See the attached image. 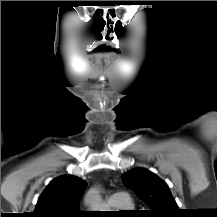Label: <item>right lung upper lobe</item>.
<instances>
[{
  "label": "right lung upper lobe",
  "mask_w": 217,
  "mask_h": 217,
  "mask_svg": "<svg viewBox=\"0 0 217 217\" xmlns=\"http://www.w3.org/2000/svg\"><path fill=\"white\" fill-rule=\"evenodd\" d=\"M87 183L75 176L53 179L38 199L32 217H81L79 202Z\"/></svg>",
  "instance_id": "right-lung-upper-lobe-1"
}]
</instances>
